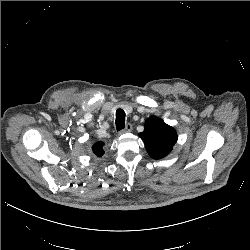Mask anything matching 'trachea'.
<instances>
[{"mask_svg":"<svg viewBox=\"0 0 250 250\" xmlns=\"http://www.w3.org/2000/svg\"><path fill=\"white\" fill-rule=\"evenodd\" d=\"M125 128V112L122 109L116 111V129L120 131Z\"/></svg>","mask_w":250,"mask_h":250,"instance_id":"obj_1","label":"trachea"}]
</instances>
